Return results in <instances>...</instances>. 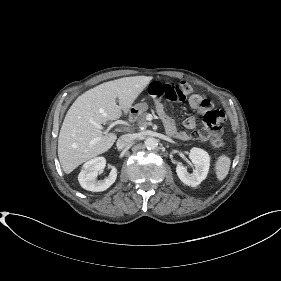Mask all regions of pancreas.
<instances>
[{"instance_id":"1","label":"pancreas","mask_w":281,"mask_h":281,"mask_svg":"<svg viewBox=\"0 0 281 281\" xmlns=\"http://www.w3.org/2000/svg\"><path fill=\"white\" fill-rule=\"evenodd\" d=\"M147 113H142L135 117L133 121L136 122L139 128L145 129L148 126V121L146 120Z\"/></svg>"}]
</instances>
